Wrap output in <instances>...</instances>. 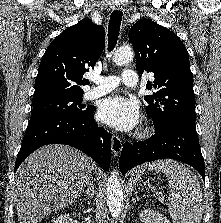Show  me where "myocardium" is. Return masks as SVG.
I'll use <instances>...</instances> for the list:
<instances>
[{
	"label": "myocardium",
	"instance_id": "obj_1",
	"mask_svg": "<svg viewBox=\"0 0 221 223\" xmlns=\"http://www.w3.org/2000/svg\"><path fill=\"white\" fill-rule=\"evenodd\" d=\"M152 130H153L152 126H150V125H146V126H144L143 129L140 131L139 135H140L141 137H146V136H148V135L151 134Z\"/></svg>",
	"mask_w": 221,
	"mask_h": 223
}]
</instances>
